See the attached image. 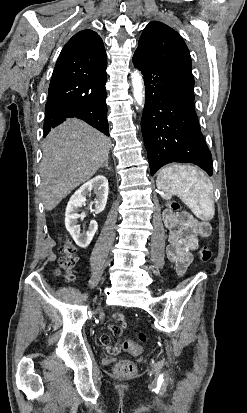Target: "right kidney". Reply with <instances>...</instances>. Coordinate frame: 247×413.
Segmentation results:
<instances>
[{
    "mask_svg": "<svg viewBox=\"0 0 247 413\" xmlns=\"http://www.w3.org/2000/svg\"><path fill=\"white\" fill-rule=\"evenodd\" d=\"M91 190H95L96 198L95 202V209H92L94 213H102L106 207V202L108 198V178L103 176V174H97L85 184H82L74 194H72L65 211V227L67 231H69L71 237H73V241H75L78 247L81 249H86L88 245H90L97 229L98 225L96 221H90V225L87 231L81 233L80 225H78L79 217L78 211L82 204H85L86 196L91 192Z\"/></svg>",
    "mask_w": 247,
    "mask_h": 413,
    "instance_id": "1",
    "label": "right kidney"
}]
</instances>
